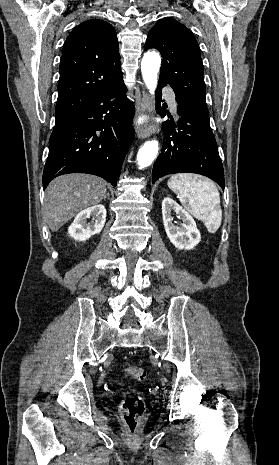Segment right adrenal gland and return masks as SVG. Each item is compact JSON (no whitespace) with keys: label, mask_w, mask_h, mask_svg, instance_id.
<instances>
[{"label":"right adrenal gland","mask_w":279,"mask_h":465,"mask_svg":"<svg viewBox=\"0 0 279 465\" xmlns=\"http://www.w3.org/2000/svg\"><path fill=\"white\" fill-rule=\"evenodd\" d=\"M110 195L109 193L106 194L105 198L109 199Z\"/></svg>","instance_id":"obj_1"}]
</instances>
